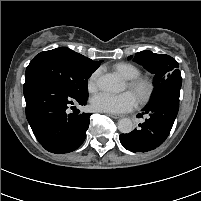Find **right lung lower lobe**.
<instances>
[{"label":"right lung lower lobe","mask_w":201,"mask_h":201,"mask_svg":"<svg viewBox=\"0 0 201 201\" xmlns=\"http://www.w3.org/2000/svg\"><path fill=\"white\" fill-rule=\"evenodd\" d=\"M26 117L40 144L49 152L63 154L81 146L89 127V113L68 107L85 105L87 99L72 96L59 83L39 75L25 78ZM73 108V107H72Z\"/></svg>","instance_id":"1"}]
</instances>
